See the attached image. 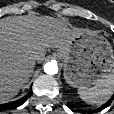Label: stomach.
Instances as JSON below:
<instances>
[{
  "mask_svg": "<svg viewBox=\"0 0 114 114\" xmlns=\"http://www.w3.org/2000/svg\"><path fill=\"white\" fill-rule=\"evenodd\" d=\"M63 61L64 78L73 87H89L114 71V53L108 40L84 31L57 50Z\"/></svg>",
  "mask_w": 114,
  "mask_h": 114,
  "instance_id": "obj_1",
  "label": "stomach"
}]
</instances>
